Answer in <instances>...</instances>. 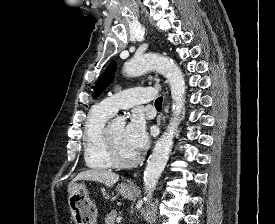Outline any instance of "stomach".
<instances>
[{"label":"stomach","mask_w":275,"mask_h":224,"mask_svg":"<svg viewBox=\"0 0 275 224\" xmlns=\"http://www.w3.org/2000/svg\"><path fill=\"white\" fill-rule=\"evenodd\" d=\"M117 191L126 199L133 200L136 197L134 187L121 183ZM68 205L71 217L75 224H96L97 208L88 195V190L83 183H73L69 191Z\"/></svg>","instance_id":"0dacf381"}]
</instances>
